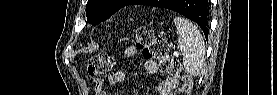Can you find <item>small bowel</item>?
I'll return each mask as SVG.
<instances>
[{
    "label": "small bowel",
    "mask_w": 277,
    "mask_h": 95,
    "mask_svg": "<svg viewBox=\"0 0 277 95\" xmlns=\"http://www.w3.org/2000/svg\"><path fill=\"white\" fill-rule=\"evenodd\" d=\"M124 55L127 58H134L138 56L137 50L134 46H127L124 49ZM145 66L150 74L158 75V64L155 60L145 58ZM125 72L118 70L113 74H109L105 79H97L94 82L96 95H106L105 84H115L125 80ZM176 86V78L173 76H166L165 82L160 84L158 87L159 95H173V90Z\"/></svg>",
    "instance_id": "small-bowel-1"
}]
</instances>
